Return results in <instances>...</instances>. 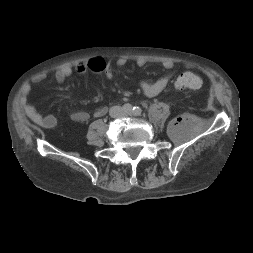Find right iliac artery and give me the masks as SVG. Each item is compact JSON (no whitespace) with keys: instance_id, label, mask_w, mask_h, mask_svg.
I'll return each mask as SVG.
<instances>
[{"instance_id":"right-iliac-artery-1","label":"right iliac artery","mask_w":253,"mask_h":253,"mask_svg":"<svg viewBox=\"0 0 253 253\" xmlns=\"http://www.w3.org/2000/svg\"><path fill=\"white\" fill-rule=\"evenodd\" d=\"M124 110L126 112L131 113L133 111V108H132V106L130 104H126V105H124Z\"/></svg>"}]
</instances>
